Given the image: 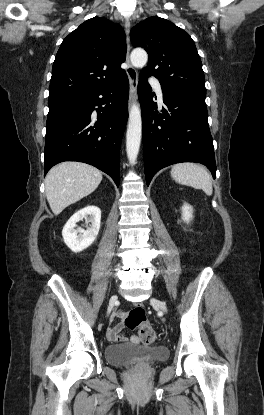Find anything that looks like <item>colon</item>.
I'll use <instances>...</instances> for the list:
<instances>
[{"instance_id":"colon-1","label":"colon","mask_w":264,"mask_h":415,"mask_svg":"<svg viewBox=\"0 0 264 415\" xmlns=\"http://www.w3.org/2000/svg\"><path fill=\"white\" fill-rule=\"evenodd\" d=\"M125 324L130 329L138 328L140 340L145 345H154L157 337L154 328L146 322L145 309L142 305H136L125 319Z\"/></svg>"}]
</instances>
